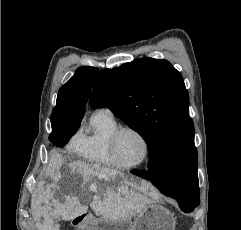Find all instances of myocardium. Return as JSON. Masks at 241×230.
<instances>
[{
  "instance_id": "1",
  "label": "myocardium",
  "mask_w": 241,
  "mask_h": 230,
  "mask_svg": "<svg viewBox=\"0 0 241 230\" xmlns=\"http://www.w3.org/2000/svg\"><path fill=\"white\" fill-rule=\"evenodd\" d=\"M130 131L135 133L144 143L145 146V152L143 158L134 164H126L122 163L118 160L117 157V143L119 140V137L123 132ZM150 144L146 136L137 128L130 126V125H119L110 135L109 140H108V151L111 160L115 164V166L123 169H134L142 166L147 159L149 158L150 155Z\"/></svg>"
}]
</instances>
